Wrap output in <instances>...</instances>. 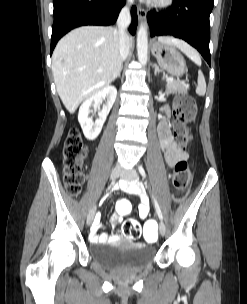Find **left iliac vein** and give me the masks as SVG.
Wrapping results in <instances>:
<instances>
[{
	"label": "left iliac vein",
	"mask_w": 247,
	"mask_h": 304,
	"mask_svg": "<svg viewBox=\"0 0 247 304\" xmlns=\"http://www.w3.org/2000/svg\"><path fill=\"white\" fill-rule=\"evenodd\" d=\"M121 177L125 181H133L134 179H136L137 173L134 170H124L121 173ZM159 232L162 236H164L166 234V227L163 222L159 223Z\"/></svg>",
	"instance_id": "1"
}]
</instances>
